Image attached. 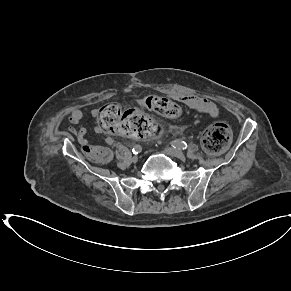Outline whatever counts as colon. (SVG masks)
<instances>
[{
    "label": "colon",
    "mask_w": 291,
    "mask_h": 291,
    "mask_svg": "<svg viewBox=\"0 0 291 291\" xmlns=\"http://www.w3.org/2000/svg\"><path fill=\"white\" fill-rule=\"evenodd\" d=\"M141 106L165 117L180 115L179 106L167 97L147 95L141 100ZM99 129L112 133L128 135L136 139H145L155 134L156 122L145 112L138 109L122 110L116 103L103 106L98 114ZM230 127L223 121L213 123L202 136V145L210 154L225 151L231 142ZM83 152L97 162H107L111 153L101 146L85 145Z\"/></svg>",
    "instance_id": "1"
}]
</instances>
